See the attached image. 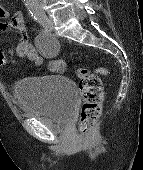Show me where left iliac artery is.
Returning <instances> with one entry per match:
<instances>
[{"mask_svg": "<svg viewBox=\"0 0 143 170\" xmlns=\"http://www.w3.org/2000/svg\"><path fill=\"white\" fill-rule=\"evenodd\" d=\"M35 20H37V22H39L44 28L47 27L46 15H44V14L37 15V17H35Z\"/></svg>", "mask_w": 143, "mask_h": 170, "instance_id": "left-iliac-artery-1", "label": "left iliac artery"}]
</instances>
